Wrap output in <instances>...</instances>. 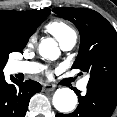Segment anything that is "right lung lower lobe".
<instances>
[{"instance_id": "98d812e1", "label": "right lung lower lobe", "mask_w": 117, "mask_h": 117, "mask_svg": "<svg viewBox=\"0 0 117 117\" xmlns=\"http://www.w3.org/2000/svg\"><path fill=\"white\" fill-rule=\"evenodd\" d=\"M11 80L15 84L0 79V117H25L30 98L41 91V85L31 80Z\"/></svg>"}]
</instances>
